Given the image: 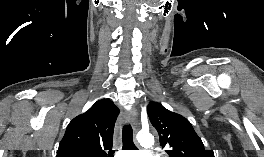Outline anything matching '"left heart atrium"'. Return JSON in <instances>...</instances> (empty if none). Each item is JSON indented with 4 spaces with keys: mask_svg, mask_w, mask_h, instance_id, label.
Segmentation results:
<instances>
[{
    "mask_svg": "<svg viewBox=\"0 0 264 157\" xmlns=\"http://www.w3.org/2000/svg\"><path fill=\"white\" fill-rule=\"evenodd\" d=\"M122 157H135V156H127V155H125V156H122Z\"/></svg>",
    "mask_w": 264,
    "mask_h": 157,
    "instance_id": "obj_1",
    "label": "left heart atrium"
}]
</instances>
